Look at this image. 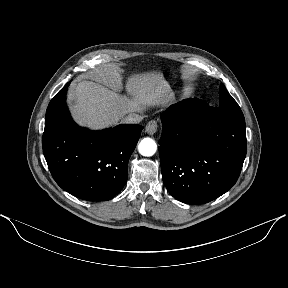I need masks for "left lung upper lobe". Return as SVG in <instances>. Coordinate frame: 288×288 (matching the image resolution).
<instances>
[{
  "label": "left lung upper lobe",
  "mask_w": 288,
  "mask_h": 288,
  "mask_svg": "<svg viewBox=\"0 0 288 288\" xmlns=\"http://www.w3.org/2000/svg\"><path fill=\"white\" fill-rule=\"evenodd\" d=\"M212 110L221 118H226L241 125H245L244 115L239 105L228 93L222 83L220 84V105L218 108L213 107Z\"/></svg>",
  "instance_id": "1"
}]
</instances>
